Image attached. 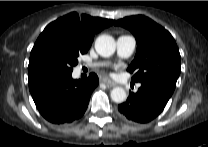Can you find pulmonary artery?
I'll list each match as a JSON object with an SVG mask.
<instances>
[{
	"label": "pulmonary artery",
	"instance_id": "e3ab8cb5",
	"mask_svg": "<svg viewBox=\"0 0 208 147\" xmlns=\"http://www.w3.org/2000/svg\"><path fill=\"white\" fill-rule=\"evenodd\" d=\"M116 46H117V54L121 58H128L130 57L136 47V40L134 37L130 35H121L117 38L116 41ZM97 64H93L91 66H97ZM140 85H137L139 87Z\"/></svg>",
	"mask_w": 208,
	"mask_h": 147
}]
</instances>
